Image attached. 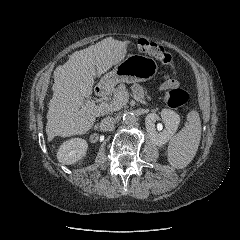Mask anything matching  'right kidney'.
<instances>
[{"label":"right kidney","mask_w":240,"mask_h":240,"mask_svg":"<svg viewBox=\"0 0 240 240\" xmlns=\"http://www.w3.org/2000/svg\"><path fill=\"white\" fill-rule=\"evenodd\" d=\"M88 143L82 138H72L65 141L57 152V159L64 165L73 164L81 160L87 151Z\"/></svg>","instance_id":"right-kidney-1"}]
</instances>
